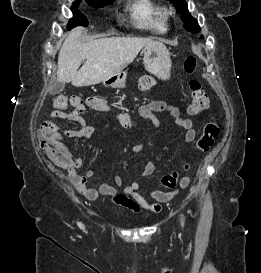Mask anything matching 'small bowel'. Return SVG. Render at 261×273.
<instances>
[{"mask_svg":"<svg viewBox=\"0 0 261 273\" xmlns=\"http://www.w3.org/2000/svg\"><path fill=\"white\" fill-rule=\"evenodd\" d=\"M156 84V80L152 75H144L140 80V87L142 90H148ZM87 106L96 110L114 114L117 121L125 128H131L134 125V119L128 113L116 110L104 100L97 97H91L87 100ZM56 109L50 112V117L54 119H67L78 123L81 127L78 130L62 129L53 122H45L43 126L53 132L59 133L71 139H89L95 131L91 125H87L85 120L80 117L72 116L65 112V109L55 107ZM169 111L175 119L176 125L185 130V141L193 142L196 138V131L190 119L182 117V112L179 108L169 106L165 102L154 101L143 105L140 109L141 116L151 120L155 127H159V121L154 116V112ZM143 144L135 145L132 148L134 153L141 151ZM69 153V152H68ZM70 155V154H69ZM71 156V155H70ZM72 158V157H71ZM83 165L81 157L72 158V163L67 167L68 177L73 184L76 191L85 196L89 200H96L99 195L110 197L112 202L118 206L125 207L134 213H138L141 209L148 210L153 213H158L161 210V203L168 202L172 199L174 192H162L159 190H152L148 192L151 200L140 194L141 186L139 183L125 182L119 174L115 175V181L118 185L123 186L122 193L107 183H99L97 188L89 187L87 180L93 176L92 170H88L84 175L77 172V169ZM155 166L151 160L144 163L143 176H150L154 172ZM189 182L188 177H183L181 180V187L187 186Z\"/></svg>","mask_w":261,"mask_h":273,"instance_id":"1","label":"small bowel"}]
</instances>
